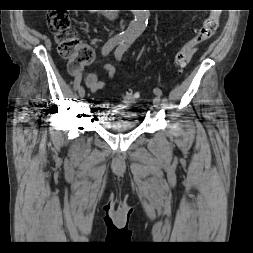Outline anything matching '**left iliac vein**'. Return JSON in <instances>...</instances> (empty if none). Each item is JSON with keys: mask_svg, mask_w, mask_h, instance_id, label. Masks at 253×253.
Instances as JSON below:
<instances>
[{"mask_svg": "<svg viewBox=\"0 0 253 253\" xmlns=\"http://www.w3.org/2000/svg\"><path fill=\"white\" fill-rule=\"evenodd\" d=\"M161 103V99L159 96H155L153 99V105L155 108H159Z\"/></svg>", "mask_w": 253, "mask_h": 253, "instance_id": "1", "label": "left iliac vein"}]
</instances>
